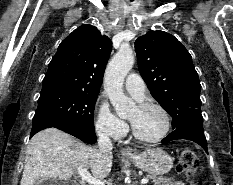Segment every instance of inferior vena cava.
Masks as SVG:
<instances>
[{"label":"inferior vena cava","instance_id":"602c4592","mask_svg":"<svg viewBox=\"0 0 233 185\" xmlns=\"http://www.w3.org/2000/svg\"><path fill=\"white\" fill-rule=\"evenodd\" d=\"M98 147L100 153H111L113 149V144L109 135L103 131L98 132Z\"/></svg>","mask_w":233,"mask_h":185}]
</instances>
